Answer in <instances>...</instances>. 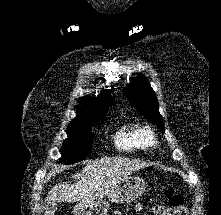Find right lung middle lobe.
<instances>
[{
    "instance_id": "1",
    "label": "right lung middle lobe",
    "mask_w": 221,
    "mask_h": 215,
    "mask_svg": "<svg viewBox=\"0 0 221 215\" xmlns=\"http://www.w3.org/2000/svg\"><path fill=\"white\" fill-rule=\"evenodd\" d=\"M105 119V118H104ZM101 119L99 121H102ZM98 120H85L75 118L67 128L68 138L64 141L62 147L61 162L72 164L82 161L92 150L93 136L91 134V124L88 122Z\"/></svg>"
}]
</instances>
